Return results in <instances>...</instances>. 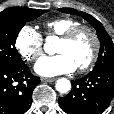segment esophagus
<instances>
[{"mask_svg":"<svg viewBox=\"0 0 114 114\" xmlns=\"http://www.w3.org/2000/svg\"><path fill=\"white\" fill-rule=\"evenodd\" d=\"M55 80H56L55 78H45V77L41 78V81L45 82V83H51V82H53Z\"/></svg>","mask_w":114,"mask_h":114,"instance_id":"1","label":"esophagus"}]
</instances>
